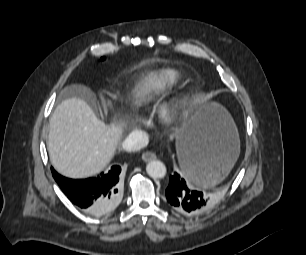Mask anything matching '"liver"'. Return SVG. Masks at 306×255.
<instances>
[{
	"mask_svg": "<svg viewBox=\"0 0 306 255\" xmlns=\"http://www.w3.org/2000/svg\"><path fill=\"white\" fill-rule=\"evenodd\" d=\"M112 108L110 100L106 101ZM127 122L106 125L81 98L62 101L50 118L48 152L55 170L84 178L103 170L115 154Z\"/></svg>",
	"mask_w": 306,
	"mask_h": 255,
	"instance_id": "liver-1",
	"label": "liver"
}]
</instances>
